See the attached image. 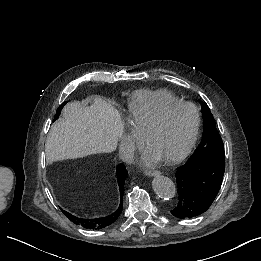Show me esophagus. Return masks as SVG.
I'll use <instances>...</instances> for the list:
<instances>
[{
	"label": "esophagus",
	"instance_id": "obj_1",
	"mask_svg": "<svg viewBox=\"0 0 261 261\" xmlns=\"http://www.w3.org/2000/svg\"><path fill=\"white\" fill-rule=\"evenodd\" d=\"M145 174H146L147 176H154V175L160 174V171H158V170H146V171H145Z\"/></svg>",
	"mask_w": 261,
	"mask_h": 261
}]
</instances>
